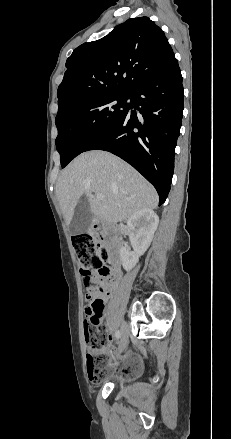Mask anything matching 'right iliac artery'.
Returning a JSON list of instances; mask_svg holds the SVG:
<instances>
[{
	"instance_id": "right-iliac-artery-1",
	"label": "right iliac artery",
	"mask_w": 231,
	"mask_h": 439,
	"mask_svg": "<svg viewBox=\"0 0 231 439\" xmlns=\"http://www.w3.org/2000/svg\"><path fill=\"white\" fill-rule=\"evenodd\" d=\"M115 336H116V339H117V340L120 338L121 334H120V331H119V330L116 331Z\"/></svg>"
}]
</instances>
